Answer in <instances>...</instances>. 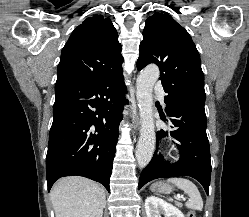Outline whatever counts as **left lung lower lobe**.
Listing matches in <instances>:
<instances>
[{"mask_svg": "<svg viewBox=\"0 0 249 217\" xmlns=\"http://www.w3.org/2000/svg\"><path fill=\"white\" fill-rule=\"evenodd\" d=\"M170 122V135L180 144L177 147L181 158L170 164L156 152L150 163L143 169L138 188L158 179L176 176H190L198 180L208 194L211 161L209 141L206 134V114L204 106L189 101H175L166 105ZM168 132L160 130L157 141Z\"/></svg>", "mask_w": 249, "mask_h": 217, "instance_id": "obj_1", "label": "left lung lower lobe"}]
</instances>
